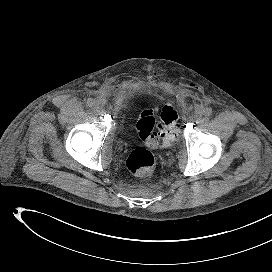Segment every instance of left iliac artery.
I'll use <instances>...</instances> for the list:
<instances>
[{"label":"left iliac artery","mask_w":272,"mask_h":272,"mask_svg":"<svg viewBox=\"0 0 272 272\" xmlns=\"http://www.w3.org/2000/svg\"><path fill=\"white\" fill-rule=\"evenodd\" d=\"M205 116H210L212 114V108L211 107H206L203 111Z\"/></svg>","instance_id":"left-iliac-artery-1"}]
</instances>
